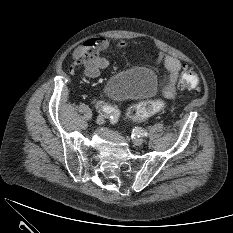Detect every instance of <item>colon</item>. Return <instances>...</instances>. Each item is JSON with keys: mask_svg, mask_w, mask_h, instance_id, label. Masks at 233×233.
Wrapping results in <instances>:
<instances>
[{"mask_svg": "<svg viewBox=\"0 0 233 233\" xmlns=\"http://www.w3.org/2000/svg\"><path fill=\"white\" fill-rule=\"evenodd\" d=\"M99 46L89 41L85 44L82 52V60L86 62L94 61L99 56ZM179 86L184 90H198L199 78L196 73L185 69L181 72ZM164 107L161 100H147L133 105L128 111V117L133 121H142L158 113Z\"/></svg>", "mask_w": 233, "mask_h": 233, "instance_id": "obj_1", "label": "colon"}]
</instances>
